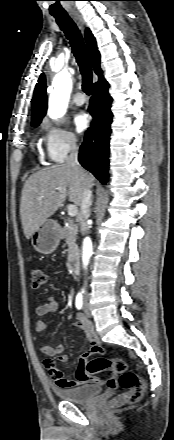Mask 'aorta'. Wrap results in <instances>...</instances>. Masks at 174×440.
I'll list each match as a JSON object with an SVG mask.
<instances>
[{"label": "aorta", "instance_id": "1", "mask_svg": "<svg viewBox=\"0 0 174 440\" xmlns=\"http://www.w3.org/2000/svg\"><path fill=\"white\" fill-rule=\"evenodd\" d=\"M71 90V74L67 70H62L54 77L52 82V91L49 97L48 106V115L52 119H58L66 113ZM92 254V240L90 237H86L81 255L84 268L88 266Z\"/></svg>", "mask_w": 174, "mask_h": 440}]
</instances>
